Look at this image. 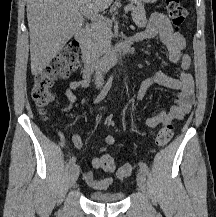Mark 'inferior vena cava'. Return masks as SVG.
Masks as SVG:
<instances>
[{
    "instance_id": "inferior-vena-cava-1",
    "label": "inferior vena cava",
    "mask_w": 216,
    "mask_h": 217,
    "mask_svg": "<svg viewBox=\"0 0 216 217\" xmlns=\"http://www.w3.org/2000/svg\"><path fill=\"white\" fill-rule=\"evenodd\" d=\"M103 82H104L103 74L100 71L96 72V76H95V84H96V86L97 87L102 86Z\"/></svg>"
}]
</instances>
